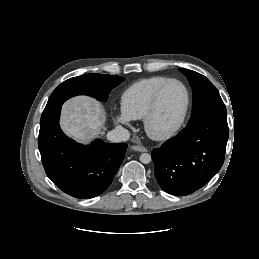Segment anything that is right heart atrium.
<instances>
[{"instance_id":"d8ad5b80","label":"right heart atrium","mask_w":259,"mask_h":259,"mask_svg":"<svg viewBox=\"0 0 259 259\" xmlns=\"http://www.w3.org/2000/svg\"><path fill=\"white\" fill-rule=\"evenodd\" d=\"M114 119L118 124L125 125V126H129L132 121V118H130L127 114H125L123 110L116 113Z\"/></svg>"}]
</instances>
